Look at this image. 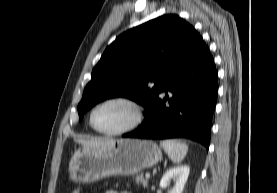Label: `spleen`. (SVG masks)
Listing matches in <instances>:
<instances>
[{
	"instance_id": "1",
	"label": "spleen",
	"mask_w": 277,
	"mask_h": 193,
	"mask_svg": "<svg viewBox=\"0 0 277 193\" xmlns=\"http://www.w3.org/2000/svg\"><path fill=\"white\" fill-rule=\"evenodd\" d=\"M160 145L174 163L181 162L188 152V146L179 140H163Z\"/></svg>"
}]
</instances>
